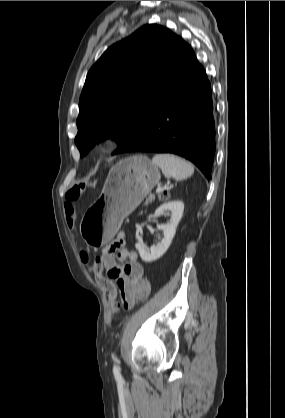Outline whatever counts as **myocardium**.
<instances>
[{"label":"myocardium","instance_id":"myocardium-1","mask_svg":"<svg viewBox=\"0 0 285 418\" xmlns=\"http://www.w3.org/2000/svg\"><path fill=\"white\" fill-rule=\"evenodd\" d=\"M111 144V140L110 139H104L101 140L99 143V150L100 151H104L106 148H108Z\"/></svg>","mask_w":285,"mask_h":418}]
</instances>
